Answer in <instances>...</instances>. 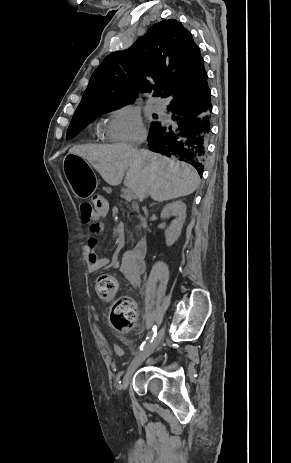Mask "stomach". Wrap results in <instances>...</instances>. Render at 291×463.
I'll list each match as a JSON object with an SVG mask.
<instances>
[{
  "mask_svg": "<svg viewBox=\"0 0 291 463\" xmlns=\"http://www.w3.org/2000/svg\"><path fill=\"white\" fill-rule=\"evenodd\" d=\"M64 172L76 197H90L96 188V178L91 166L82 157L70 152L64 159Z\"/></svg>",
  "mask_w": 291,
  "mask_h": 463,
  "instance_id": "0dacf381",
  "label": "stomach"
}]
</instances>
